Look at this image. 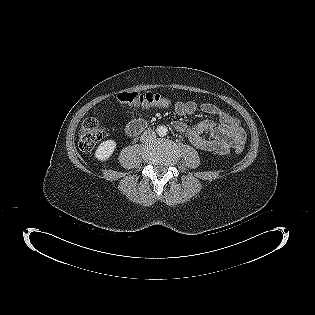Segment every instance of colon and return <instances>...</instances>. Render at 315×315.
<instances>
[{
    "mask_svg": "<svg viewBox=\"0 0 315 315\" xmlns=\"http://www.w3.org/2000/svg\"><path fill=\"white\" fill-rule=\"evenodd\" d=\"M118 101L124 104H132L142 107H163L168 108L172 105L171 100L159 94L135 92H122L118 94ZM105 130L95 118H89L83 123L79 133V146L83 151H89L103 139ZM236 153L243 151V146L235 147Z\"/></svg>",
    "mask_w": 315,
    "mask_h": 315,
    "instance_id": "1",
    "label": "colon"
}]
</instances>
